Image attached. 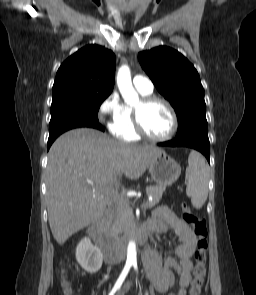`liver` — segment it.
I'll return each instance as SVG.
<instances>
[{"label": "liver", "mask_w": 256, "mask_h": 295, "mask_svg": "<svg viewBox=\"0 0 256 295\" xmlns=\"http://www.w3.org/2000/svg\"><path fill=\"white\" fill-rule=\"evenodd\" d=\"M160 148L128 145L97 130L80 128L51 146L46 169L47 211L59 245L98 221L118 177L140 178Z\"/></svg>", "instance_id": "obj_1"}]
</instances>
